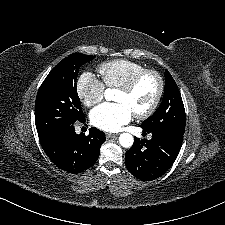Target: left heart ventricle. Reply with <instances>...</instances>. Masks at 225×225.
Listing matches in <instances>:
<instances>
[{
    "instance_id": "left-heart-ventricle-1",
    "label": "left heart ventricle",
    "mask_w": 225,
    "mask_h": 225,
    "mask_svg": "<svg viewBox=\"0 0 225 225\" xmlns=\"http://www.w3.org/2000/svg\"><path fill=\"white\" fill-rule=\"evenodd\" d=\"M157 91V81L151 75L145 76L131 93L118 90L116 102L125 104L133 114L146 110Z\"/></svg>"
}]
</instances>
